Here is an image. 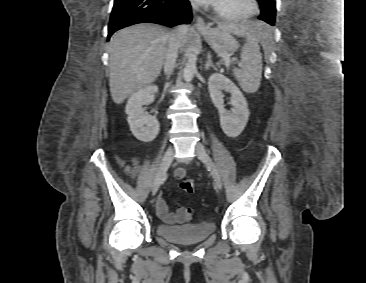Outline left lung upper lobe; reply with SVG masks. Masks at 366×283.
Returning a JSON list of instances; mask_svg holds the SVG:
<instances>
[{
  "mask_svg": "<svg viewBox=\"0 0 366 283\" xmlns=\"http://www.w3.org/2000/svg\"><path fill=\"white\" fill-rule=\"evenodd\" d=\"M261 7L260 20L270 25H275L276 5L275 0H258Z\"/></svg>",
  "mask_w": 366,
  "mask_h": 283,
  "instance_id": "obj_1",
  "label": "left lung upper lobe"
}]
</instances>
